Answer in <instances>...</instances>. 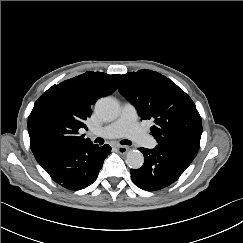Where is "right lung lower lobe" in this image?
Wrapping results in <instances>:
<instances>
[{"label": "right lung lower lobe", "mask_w": 243, "mask_h": 243, "mask_svg": "<svg viewBox=\"0 0 243 243\" xmlns=\"http://www.w3.org/2000/svg\"><path fill=\"white\" fill-rule=\"evenodd\" d=\"M111 147H98L92 142L83 145L49 144L33 152L38 163L59 185L80 190L97 178Z\"/></svg>", "instance_id": "1"}]
</instances>
